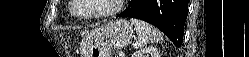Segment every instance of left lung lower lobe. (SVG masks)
<instances>
[{
  "instance_id": "left-lung-lower-lobe-1",
  "label": "left lung lower lobe",
  "mask_w": 249,
  "mask_h": 57,
  "mask_svg": "<svg viewBox=\"0 0 249 57\" xmlns=\"http://www.w3.org/2000/svg\"><path fill=\"white\" fill-rule=\"evenodd\" d=\"M188 0H131L118 17H133L156 26L176 45L183 41Z\"/></svg>"
}]
</instances>
